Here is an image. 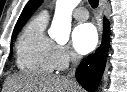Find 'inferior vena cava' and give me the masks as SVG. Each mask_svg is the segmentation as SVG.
Instances as JSON below:
<instances>
[{"instance_id": "602c4592", "label": "inferior vena cava", "mask_w": 127, "mask_h": 92, "mask_svg": "<svg viewBox=\"0 0 127 92\" xmlns=\"http://www.w3.org/2000/svg\"><path fill=\"white\" fill-rule=\"evenodd\" d=\"M80 62V57L79 55H77V53H75L74 51L71 52V63H72V68L71 70L69 71L67 77L70 79V81L77 85V81L75 79V71H76V68L78 66Z\"/></svg>"}]
</instances>
